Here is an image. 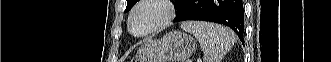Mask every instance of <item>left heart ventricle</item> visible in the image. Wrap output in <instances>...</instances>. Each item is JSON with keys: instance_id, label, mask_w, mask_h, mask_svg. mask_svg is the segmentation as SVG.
<instances>
[{"instance_id": "b2bd125f", "label": "left heart ventricle", "mask_w": 331, "mask_h": 62, "mask_svg": "<svg viewBox=\"0 0 331 62\" xmlns=\"http://www.w3.org/2000/svg\"><path fill=\"white\" fill-rule=\"evenodd\" d=\"M163 15V9L157 5L142 8L133 20V30L137 33L143 32L155 24Z\"/></svg>"}]
</instances>
